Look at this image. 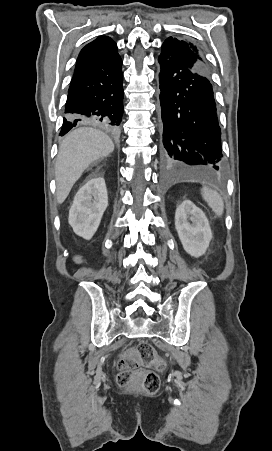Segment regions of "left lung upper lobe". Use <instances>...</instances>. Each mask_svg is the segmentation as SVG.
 I'll use <instances>...</instances> for the list:
<instances>
[{
    "label": "left lung upper lobe",
    "mask_w": 272,
    "mask_h": 451,
    "mask_svg": "<svg viewBox=\"0 0 272 451\" xmlns=\"http://www.w3.org/2000/svg\"><path fill=\"white\" fill-rule=\"evenodd\" d=\"M175 39H176V38H175ZM176 40H177L178 43H180V44H182V45H185V46L189 47L190 49H192V50L197 54V56L199 57V59L203 62V59L200 57L197 48H196L193 44H191V43H189V42H186V41H183V40H178V39H176Z\"/></svg>",
    "instance_id": "5c2ea615"
}]
</instances>
